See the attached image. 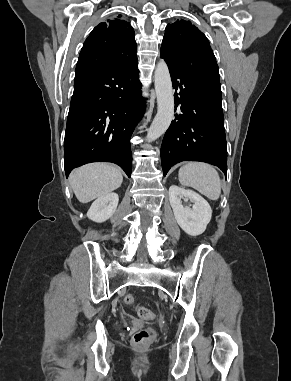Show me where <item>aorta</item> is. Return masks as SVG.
<instances>
[{
	"label": "aorta",
	"mask_w": 291,
	"mask_h": 381,
	"mask_svg": "<svg viewBox=\"0 0 291 381\" xmlns=\"http://www.w3.org/2000/svg\"><path fill=\"white\" fill-rule=\"evenodd\" d=\"M155 91L157 96V114L151 123L147 140H156L168 129L174 116V95L168 66L160 60L154 73Z\"/></svg>",
	"instance_id": "762f6f07"
}]
</instances>
